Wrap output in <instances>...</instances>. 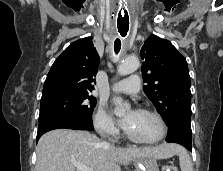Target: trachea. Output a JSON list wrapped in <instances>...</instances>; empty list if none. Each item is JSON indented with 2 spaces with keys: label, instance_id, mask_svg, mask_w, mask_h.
I'll return each instance as SVG.
<instances>
[{
  "label": "trachea",
  "instance_id": "trachea-1",
  "mask_svg": "<svg viewBox=\"0 0 223 171\" xmlns=\"http://www.w3.org/2000/svg\"><path fill=\"white\" fill-rule=\"evenodd\" d=\"M121 49V41L120 39H116L114 42V51L117 54Z\"/></svg>",
  "mask_w": 223,
  "mask_h": 171
}]
</instances>
